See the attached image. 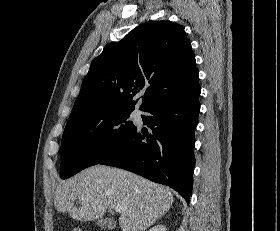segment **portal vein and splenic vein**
I'll use <instances>...</instances> for the list:
<instances>
[{
	"label": "portal vein and splenic vein",
	"instance_id": "portal-vein-and-splenic-vein-1",
	"mask_svg": "<svg viewBox=\"0 0 280 231\" xmlns=\"http://www.w3.org/2000/svg\"><path fill=\"white\" fill-rule=\"evenodd\" d=\"M115 211H125L124 207H120V205H117V207H115Z\"/></svg>",
	"mask_w": 280,
	"mask_h": 231
}]
</instances>
